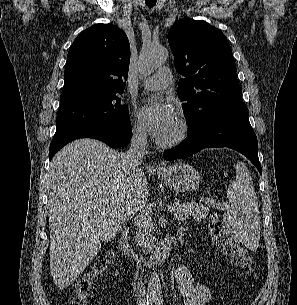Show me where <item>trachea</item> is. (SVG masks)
Instances as JSON below:
<instances>
[{
  "label": "trachea",
  "instance_id": "1",
  "mask_svg": "<svg viewBox=\"0 0 297 305\" xmlns=\"http://www.w3.org/2000/svg\"><path fill=\"white\" fill-rule=\"evenodd\" d=\"M157 0H145V3L148 7H153L156 4Z\"/></svg>",
  "mask_w": 297,
  "mask_h": 305
}]
</instances>
